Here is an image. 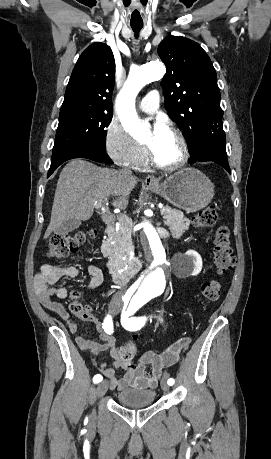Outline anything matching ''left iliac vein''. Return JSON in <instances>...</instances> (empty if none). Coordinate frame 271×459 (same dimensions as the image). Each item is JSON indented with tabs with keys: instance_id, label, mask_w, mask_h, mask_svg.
<instances>
[{
	"instance_id": "4c4485c4",
	"label": "left iliac vein",
	"mask_w": 271,
	"mask_h": 459,
	"mask_svg": "<svg viewBox=\"0 0 271 459\" xmlns=\"http://www.w3.org/2000/svg\"><path fill=\"white\" fill-rule=\"evenodd\" d=\"M167 374H165L162 379H161V388L164 390V391H169V385L168 383L166 382V378H167Z\"/></svg>"
}]
</instances>
